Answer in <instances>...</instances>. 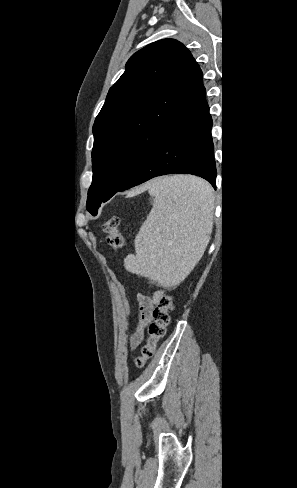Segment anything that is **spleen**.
Returning <instances> with one entry per match:
<instances>
[{"label":"spleen","mask_w":297,"mask_h":488,"mask_svg":"<svg viewBox=\"0 0 297 488\" xmlns=\"http://www.w3.org/2000/svg\"><path fill=\"white\" fill-rule=\"evenodd\" d=\"M153 207L135 239L136 255L125 268L160 284L185 278L211 231L212 190L204 180L186 175L157 178L148 186Z\"/></svg>","instance_id":"spleen-1"}]
</instances>
